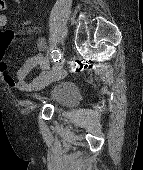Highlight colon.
I'll list each match as a JSON object with an SVG mask.
<instances>
[{
    "label": "colon",
    "instance_id": "obj_1",
    "mask_svg": "<svg viewBox=\"0 0 143 170\" xmlns=\"http://www.w3.org/2000/svg\"><path fill=\"white\" fill-rule=\"evenodd\" d=\"M4 1L3 0H0V10L4 9Z\"/></svg>",
    "mask_w": 143,
    "mask_h": 170
}]
</instances>
